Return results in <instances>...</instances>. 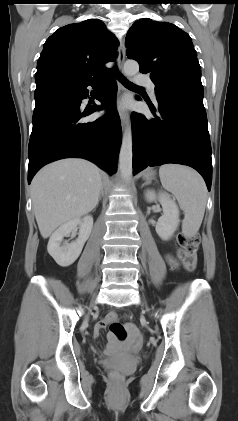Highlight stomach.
<instances>
[{"label": "stomach", "mask_w": 238, "mask_h": 421, "mask_svg": "<svg viewBox=\"0 0 238 421\" xmlns=\"http://www.w3.org/2000/svg\"><path fill=\"white\" fill-rule=\"evenodd\" d=\"M154 176H155V171H153V170H148V171H146V172L144 173V175H143V177H144L146 180H151V179H153V178H154Z\"/></svg>", "instance_id": "0dacf381"}]
</instances>
